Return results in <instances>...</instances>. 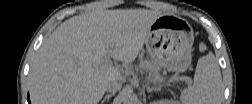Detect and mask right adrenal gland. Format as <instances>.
<instances>
[{
	"label": "right adrenal gland",
	"instance_id": "1",
	"mask_svg": "<svg viewBox=\"0 0 252 104\" xmlns=\"http://www.w3.org/2000/svg\"><path fill=\"white\" fill-rule=\"evenodd\" d=\"M112 96H114V93L105 95V97H104L103 100L100 102V104L108 103L109 99H110Z\"/></svg>",
	"mask_w": 252,
	"mask_h": 104
}]
</instances>
